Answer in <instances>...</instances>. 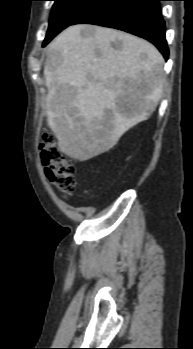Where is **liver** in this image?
Listing matches in <instances>:
<instances>
[{
  "label": "liver",
  "instance_id": "6515ba94",
  "mask_svg": "<svg viewBox=\"0 0 193 349\" xmlns=\"http://www.w3.org/2000/svg\"><path fill=\"white\" fill-rule=\"evenodd\" d=\"M163 65L154 45L123 31L73 25L61 32L48 45L44 66L47 123L60 150L86 161L113 148L156 109ZM122 100L126 110L118 106Z\"/></svg>",
  "mask_w": 193,
  "mask_h": 349
}]
</instances>
